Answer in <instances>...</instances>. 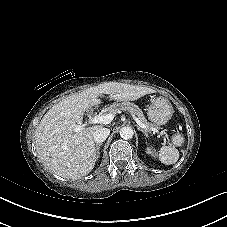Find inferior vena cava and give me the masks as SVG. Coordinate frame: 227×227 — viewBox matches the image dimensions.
Returning <instances> with one entry per match:
<instances>
[{"instance_id":"1","label":"inferior vena cava","mask_w":227,"mask_h":227,"mask_svg":"<svg viewBox=\"0 0 227 227\" xmlns=\"http://www.w3.org/2000/svg\"><path fill=\"white\" fill-rule=\"evenodd\" d=\"M110 134V129L108 128H99L93 134V140L96 143H102Z\"/></svg>"}]
</instances>
